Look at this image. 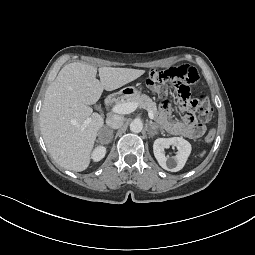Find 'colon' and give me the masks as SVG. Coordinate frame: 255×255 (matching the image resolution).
<instances>
[{
  "label": "colon",
  "instance_id": "1",
  "mask_svg": "<svg viewBox=\"0 0 255 255\" xmlns=\"http://www.w3.org/2000/svg\"><path fill=\"white\" fill-rule=\"evenodd\" d=\"M197 79L198 74L195 68L189 65H181L168 70H151L146 79V84L151 90L164 94L166 84L173 83L182 106L189 112H198L201 122L207 123L213 113L208 98L203 95L198 97L190 96V85L195 83ZM214 138L215 132L209 131L205 136V141L212 142Z\"/></svg>",
  "mask_w": 255,
  "mask_h": 255
}]
</instances>
